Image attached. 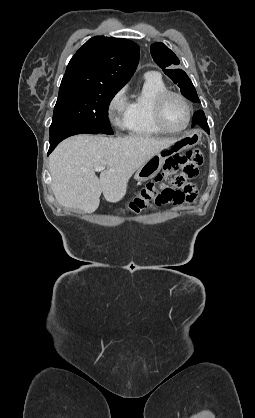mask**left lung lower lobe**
Returning <instances> with one entry per match:
<instances>
[{"label":"left lung lower lobe","instance_id":"left-lung-lower-lobe-1","mask_svg":"<svg viewBox=\"0 0 255 418\" xmlns=\"http://www.w3.org/2000/svg\"><path fill=\"white\" fill-rule=\"evenodd\" d=\"M195 125L201 126L205 131L209 133V127L203 111L195 112L193 116L192 127H194Z\"/></svg>","mask_w":255,"mask_h":418}]
</instances>
